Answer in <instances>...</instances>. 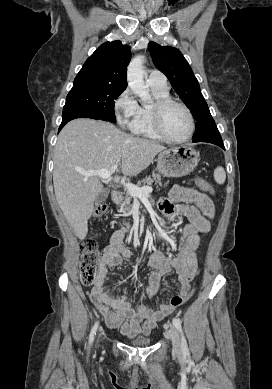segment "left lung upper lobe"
Masks as SVG:
<instances>
[{
  "label": "left lung upper lobe",
  "instance_id": "1",
  "mask_svg": "<svg viewBox=\"0 0 272 389\" xmlns=\"http://www.w3.org/2000/svg\"><path fill=\"white\" fill-rule=\"evenodd\" d=\"M148 48L153 63L166 75L196 120V130L192 141L202 138L217 128L200 91L199 83L180 50L169 46L162 47L155 42H150Z\"/></svg>",
  "mask_w": 272,
  "mask_h": 389
}]
</instances>
